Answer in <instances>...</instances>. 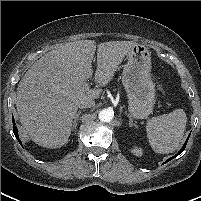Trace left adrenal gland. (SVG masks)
<instances>
[{
    "mask_svg": "<svg viewBox=\"0 0 201 201\" xmlns=\"http://www.w3.org/2000/svg\"><path fill=\"white\" fill-rule=\"evenodd\" d=\"M125 114L128 115L127 112H125ZM128 117H129V126L130 127H133V126L138 127L137 123L133 122V119L131 118V116L128 115Z\"/></svg>",
    "mask_w": 201,
    "mask_h": 201,
    "instance_id": "left-adrenal-gland-1",
    "label": "left adrenal gland"
}]
</instances>
